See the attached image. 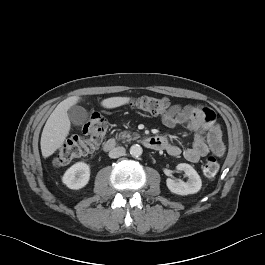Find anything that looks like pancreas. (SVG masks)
<instances>
[{
    "instance_id": "cf45deb5",
    "label": "pancreas",
    "mask_w": 265,
    "mask_h": 265,
    "mask_svg": "<svg viewBox=\"0 0 265 265\" xmlns=\"http://www.w3.org/2000/svg\"><path fill=\"white\" fill-rule=\"evenodd\" d=\"M132 135H133V137L130 135V133L128 131H124V132H121L119 134V139L131 141V140H135V139L139 138V134H137V133H133Z\"/></svg>"
}]
</instances>
